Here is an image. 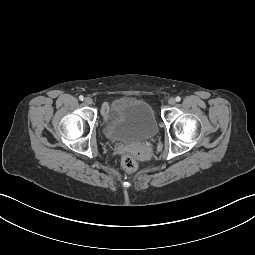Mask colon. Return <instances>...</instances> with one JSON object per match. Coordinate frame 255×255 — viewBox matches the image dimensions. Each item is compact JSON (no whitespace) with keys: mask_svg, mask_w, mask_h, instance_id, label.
<instances>
[{"mask_svg":"<svg viewBox=\"0 0 255 255\" xmlns=\"http://www.w3.org/2000/svg\"><path fill=\"white\" fill-rule=\"evenodd\" d=\"M121 164L128 173H133L137 170V161L129 153H126L122 156Z\"/></svg>","mask_w":255,"mask_h":255,"instance_id":"obj_1","label":"colon"}]
</instances>
